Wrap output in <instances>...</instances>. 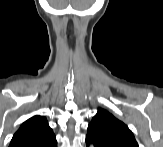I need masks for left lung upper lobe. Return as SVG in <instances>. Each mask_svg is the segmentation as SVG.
I'll use <instances>...</instances> for the list:
<instances>
[{"instance_id": "left-lung-upper-lobe-1", "label": "left lung upper lobe", "mask_w": 163, "mask_h": 147, "mask_svg": "<svg viewBox=\"0 0 163 147\" xmlns=\"http://www.w3.org/2000/svg\"><path fill=\"white\" fill-rule=\"evenodd\" d=\"M87 134L95 139L138 147L135 137L127 125L101 108L98 109L97 114L89 124Z\"/></svg>"}]
</instances>
